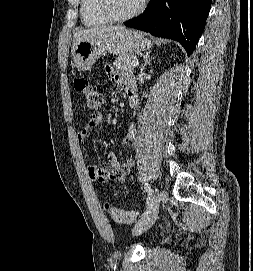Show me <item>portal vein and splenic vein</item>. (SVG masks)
I'll use <instances>...</instances> for the list:
<instances>
[{
	"instance_id": "18ae733b",
	"label": "portal vein and splenic vein",
	"mask_w": 253,
	"mask_h": 271,
	"mask_svg": "<svg viewBox=\"0 0 253 271\" xmlns=\"http://www.w3.org/2000/svg\"><path fill=\"white\" fill-rule=\"evenodd\" d=\"M138 65H139L138 61H134L133 64H132L133 67H137Z\"/></svg>"
}]
</instances>
